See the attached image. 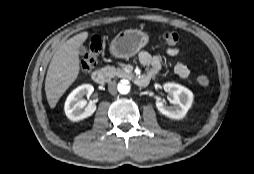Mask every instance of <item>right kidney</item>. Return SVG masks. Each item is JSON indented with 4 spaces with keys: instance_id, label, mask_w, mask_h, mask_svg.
Returning a JSON list of instances; mask_svg holds the SVG:
<instances>
[{
    "instance_id": "right-kidney-1",
    "label": "right kidney",
    "mask_w": 254,
    "mask_h": 174,
    "mask_svg": "<svg viewBox=\"0 0 254 174\" xmlns=\"http://www.w3.org/2000/svg\"><path fill=\"white\" fill-rule=\"evenodd\" d=\"M94 91L91 84H83L74 89L67 97L64 105L66 116L71 121H79L91 116L95 110V104H88L86 100H82V96H90Z\"/></svg>"
}]
</instances>
